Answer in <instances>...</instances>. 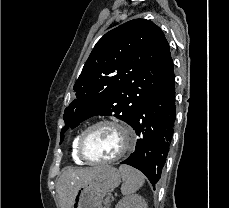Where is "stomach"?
<instances>
[{"instance_id": "stomach-1", "label": "stomach", "mask_w": 229, "mask_h": 208, "mask_svg": "<svg viewBox=\"0 0 229 208\" xmlns=\"http://www.w3.org/2000/svg\"><path fill=\"white\" fill-rule=\"evenodd\" d=\"M120 182L119 170L113 166H104L100 176L78 188L72 208H102L101 202H103L107 190L117 188Z\"/></svg>"}]
</instances>
